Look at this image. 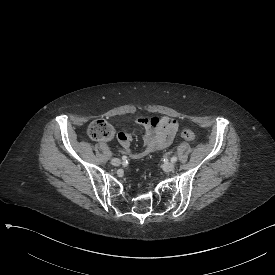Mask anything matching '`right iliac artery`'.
Returning <instances> with one entry per match:
<instances>
[{"mask_svg": "<svg viewBox=\"0 0 275 275\" xmlns=\"http://www.w3.org/2000/svg\"><path fill=\"white\" fill-rule=\"evenodd\" d=\"M122 159L125 160L126 158L123 156Z\"/></svg>", "mask_w": 275, "mask_h": 275, "instance_id": "1", "label": "right iliac artery"}]
</instances>
